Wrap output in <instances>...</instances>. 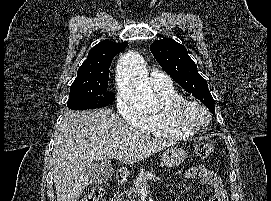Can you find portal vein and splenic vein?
I'll use <instances>...</instances> for the list:
<instances>
[{"label":"portal vein and splenic vein","instance_id":"portal-vein-and-splenic-vein-1","mask_svg":"<svg viewBox=\"0 0 271 201\" xmlns=\"http://www.w3.org/2000/svg\"><path fill=\"white\" fill-rule=\"evenodd\" d=\"M141 190H147V187H143V188H141Z\"/></svg>","mask_w":271,"mask_h":201}]
</instances>
